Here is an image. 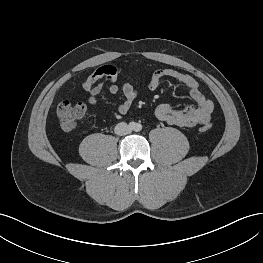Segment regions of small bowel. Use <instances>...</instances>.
Segmentation results:
<instances>
[{
	"mask_svg": "<svg viewBox=\"0 0 263 263\" xmlns=\"http://www.w3.org/2000/svg\"><path fill=\"white\" fill-rule=\"evenodd\" d=\"M116 77L117 73L114 67L104 66L87 75L82 82V88L88 95V104L94 106L104 89L105 81L111 82L108 87L109 93L116 95L122 92L124 95L123 101L118 106V112L125 115L137 97V90L130 82H124L121 86L115 84ZM164 78H172L186 87L196 105H189L183 110H174L167 104H161L155 110L156 117L163 122L179 127L207 124L211 119L213 103L201 91L198 82L186 73L165 68L158 69L153 73L149 81V89L156 90Z\"/></svg>",
	"mask_w": 263,
	"mask_h": 263,
	"instance_id": "c3829d8e",
	"label": "small bowel"
}]
</instances>
